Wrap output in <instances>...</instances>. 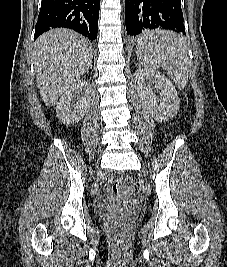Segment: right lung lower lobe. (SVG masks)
I'll return each instance as SVG.
<instances>
[{
  "label": "right lung lower lobe",
  "mask_w": 227,
  "mask_h": 267,
  "mask_svg": "<svg viewBox=\"0 0 227 267\" xmlns=\"http://www.w3.org/2000/svg\"><path fill=\"white\" fill-rule=\"evenodd\" d=\"M100 0H42L34 40L50 28L66 27L97 38Z\"/></svg>",
  "instance_id": "1"
}]
</instances>
